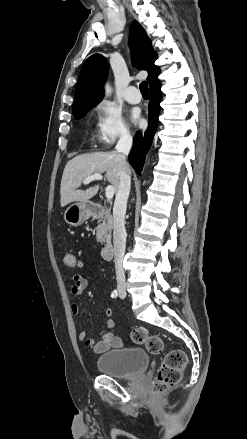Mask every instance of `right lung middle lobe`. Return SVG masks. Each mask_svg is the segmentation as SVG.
<instances>
[{
	"mask_svg": "<svg viewBox=\"0 0 247 439\" xmlns=\"http://www.w3.org/2000/svg\"><path fill=\"white\" fill-rule=\"evenodd\" d=\"M88 111L89 110L81 111L77 114H74V116H75V118L80 119V118L84 117Z\"/></svg>",
	"mask_w": 247,
	"mask_h": 439,
	"instance_id": "right-lung-middle-lobe-1",
	"label": "right lung middle lobe"
}]
</instances>
